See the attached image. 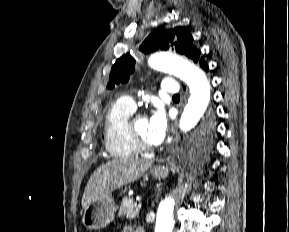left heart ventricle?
I'll use <instances>...</instances> for the list:
<instances>
[{
	"instance_id": "1",
	"label": "left heart ventricle",
	"mask_w": 289,
	"mask_h": 232,
	"mask_svg": "<svg viewBox=\"0 0 289 232\" xmlns=\"http://www.w3.org/2000/svg\"><path fill=\"white\" fill-rule=\"evenodd\" d=\"M132 129L142 141L149 145H153L148 137L147 119L144 116L135 119L132 124Z\"/></svg>"
}]
</instances>
